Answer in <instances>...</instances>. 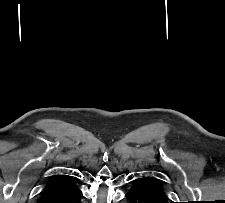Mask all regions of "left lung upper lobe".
<instances>
[{
	"mask_svg": "<svg viewBox=\"0 0 225 203\" xmlns=\"http://www.w3.org/2000/svg\"><path fill=\"white\" fill-rule=\"evenodd\" d=\"M141 180L146 183V185L150 188L152 192H154L156 195L164 199L165 201H170L167 199L162 185L160 184V181L158 179H155L153 177H150L149 175H146L144 177H141ZM172 203V202H170Z\"/></svg>",
	"mask_w": 225,
	"mask_h": 203,
	"instance_id": "left-lung-upper-lobe-1",
	"label": "left lung upper lobe"
}]
</instances>
